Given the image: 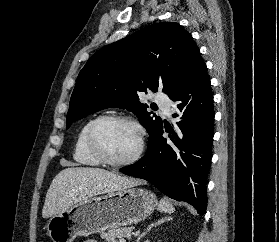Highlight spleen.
Returning <instances> with one entry per match:
<instances>
[{
    "mask_svg": "<svg viewBox=\"0 0 279 242\" xmlns=\"http://www.w3.org/2000/svg\"><path fill=\"white\" fill-rule=\"evenodd\" d=\"M159 210L165 213H173L175 208L169 199L164 197L159 203Z\"/></svg>",
    "mask_w": 279,
    "mask_h": 242,
    "instance_id": "spleen-1",
    "label": "spleen"
}]
</instances>
